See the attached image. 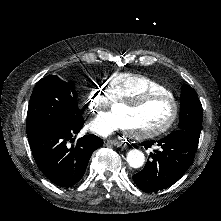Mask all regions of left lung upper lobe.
Masks as SVG:
<instances>
[{"mask_svg": "<svg viewBox=\"0 0 221 221\" xmlns=\"http://www.w3.org/2000/svg\"><path fill=\"white\" fill-rule=\"evenodd\" d=\"M180 102L179 129L199 137L202 126V105L197 93L190 86L184 85Z\"/></svg>", "mask_w": 221, "mask_h": 221, "instance_id": "obj_1", "label": "left lung upper lobe"}]
</instances>
